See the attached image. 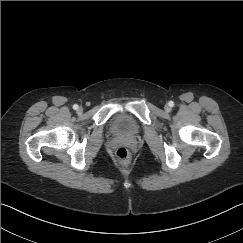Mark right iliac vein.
Masks as SVG:
<instances>
[{"instance_id": "right-iliac-vein-1", "label": "right iliac vein", "mask_w": 243, "mask_h": 243, "mask_svg": "<svg viewBox=\"0 0 243 243\" xmlns=\"http://www.w3.org/2000/svg\"><path fill=\"white\" fill-rule=\"evenodd\" d=\"M83 111V108L82 107H79L78 109H77V112L78 113H81Z\"/></svg>"}]
</instances>
